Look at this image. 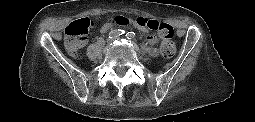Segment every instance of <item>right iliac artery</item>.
I'll list each match as a JSON object with an SVG mask.
<instances>
[{
	"instance_id": "82829eb1",
	"label": "right iliac artery",
	"mask_w": 255,
	"mask_h": 122,
	"mask_svg": "<svg viewBox=\"0 0 255 122\" xmlns=\"http://www.w3.org/2000/svg\"><path fill=\"white\" fill-rule=\"evenodd\" d=\"M125 34V31L124 30H121V29H118V30H113L109 33V38L110 39H113L115 37H118V36H121Z\"/></svg>"
}]
</instances>
